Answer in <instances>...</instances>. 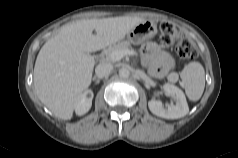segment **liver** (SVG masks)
<instances>
[{"mask_svg": "<svg viewBox=\"0 0 238 158\" xmlns=\"http://www.w3.org/2000/svg\"><path fill=\"white\" fill-rule=\"evenodd\" d=\"M143 21L140 17H112L63 25L42 46L35 62L34 88L39 100L56 117L70 120L91 84L95 60L89 53L120 41Z\"/></svg>", "mask_w": 238, "mask_h": 158, "instance_id": "6515ba94", "label": "liver"}]
</instances>
